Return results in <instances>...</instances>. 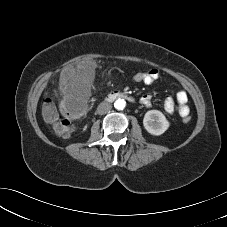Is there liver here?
<instances>
[{
    "label": "liver",
    "instance_id": "6515ba94",
    "mask_svg": "<svg viewBox=\"0 0 227 227\" xmlns=\"http://www.w3.org/2000/svg\"><path fill=\"white\" fill-rule=\"evenodd\" d=\"M94 64H81L78 66L77 70L70 69L64 71L61 77V83L64 86V91H68L70 88H73L74 85L84 78L82 71L86 69H94Z\"/></svg>",
    "mask_w": 227,
    "mask_h": 227
}]
</instances>
